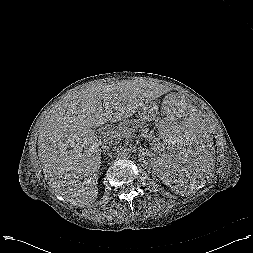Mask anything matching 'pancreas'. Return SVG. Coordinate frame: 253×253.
Wrapping results in <instances>:
<instances>
[{
	"label": "pancreas",
	"instance_id": "pancreas-1",
	"mask_svg": "<svg viewBox=\"0 0 253 253\" xmlns=\"http://www.w3.org/2000/svg\"><path fill=\"white\" fill-rule=\"evenodd\" d=\"M138 127L141 129L140 131L144 138L152 140L153 138L152 133H148L149 129L146 127L145 122L144 121L140 122L139 120L124 121L120 123L117 127L113 128L112 130H107L106 135L110 139L120 140L122 138H128L131 135V132Z\"/></svg>",
	"mask_w": 253,
	"mask_h": 253
}]
</instances>
